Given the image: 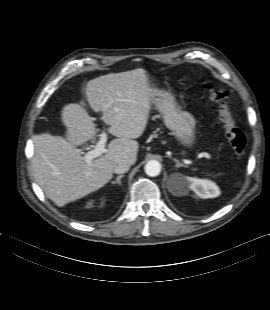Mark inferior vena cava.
Returning <instances> with one entry per match:
<instances>
[{
    "mask_svg": "<svg viewBox=\"0 0 270 310\" xmlns=\"http://www.w3.org/2000/svg\"><path fill=\"white\" fill-rule=\"evenodd\" d=\"M130 168V163L127 160H119L113 165V172L116 174L126 173Z\"/></svg>",
    "mask_w": 270,
    "mask_h": 310,
    "instance_id": "inferior-vena-cava-1",
    "label": "inferior vena cava"
}]
</instances>
